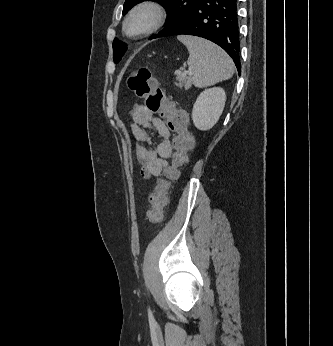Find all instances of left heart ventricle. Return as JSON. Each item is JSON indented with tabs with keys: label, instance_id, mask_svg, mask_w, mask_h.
Returning <instances> with one entry per match:
<instances>
[{
	"label": "left heart ventricle",
	"instance_id": "left-heart-ventricle-1",
	"mask_svg": "<svg viewBox=\"0 0 333 346\" xmlns=\"http://www.w3.org/2000/svg\"><path fill=\"white\" fill-rule=\"evenodd\" d=\"M152 14L148 11H143L138 13L130 22L128 25V29L131 32H137L140 30L145 29L150 25L152 22Z\"/></svg>",
	"mask_w": 333,
	"mask_h": 346
}]
</instances>
